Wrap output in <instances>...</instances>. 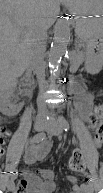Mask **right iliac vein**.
<instances>
[{"mask_svg":"<svg viewBox=\"0 0 103 193\" xmlns=\"http://www.w3.org/2000/svg\"><path fill=\"white\" fill-rule=\"evenodd\" d=\"M44 128H45V122H43V121H37V122H35V124H34V129H35V131L40 132V131H42ZM12 187H13V183H12V182H9V183H8V189L10 190V189H12Z\"/></svg>","mask_w":103,"mask_h":193,"instance_id":"63e3f726","label":"right iliac vein"}]
</instances>
